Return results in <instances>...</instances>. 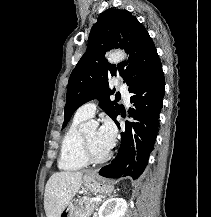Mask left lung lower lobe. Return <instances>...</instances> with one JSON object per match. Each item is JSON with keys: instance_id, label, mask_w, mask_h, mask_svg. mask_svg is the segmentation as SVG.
<instances>
[{"instance_id": "obj_1", "label": "left lung lower lobe", "mask_w": 211, "mask_h": 217, "mask_svg": "<svg viewBox=\"0 0 211 217\" xmlns=\"http://www.w3.org/2000/svg\"><path fill=\"white\" fill-rule=\"evenodd\" d=\"M164 87V74L160 64L129 89L133 94L130 98L133 105L128 113L133 121L126 122L118 154L99 171L101 176L137 179L143 173L157 136ZM116 124L119 127L117 122Z\"/></svg>"}]
</instances>
